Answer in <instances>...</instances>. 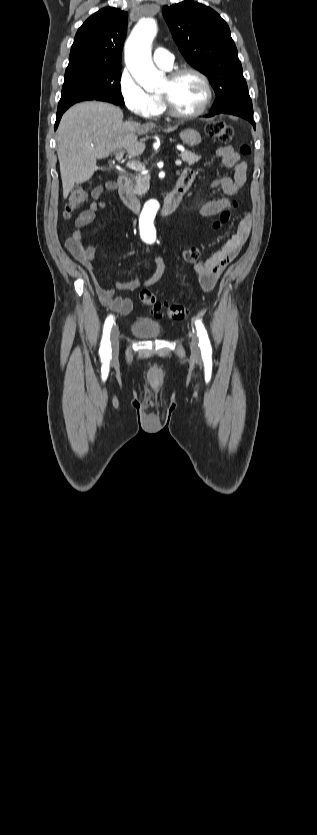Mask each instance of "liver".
I'll use <instances>...</instances> for the list:
<instances>
[{"instance_id": "obj_1", "label": "liver", "mask_w": 317, "mask_h": 835, "mask_svg": "<svg viewBox=\"0 0 317 835\" xmlns=\"http://www.w3.org/2000/svg\"><path fill=\"white\" fill-rule=\"evenodd\" d=\"M176 126L164 128L172 132ZM155 124L123 122L122 110L110 103L86 101L70 107L57 129V154L66 199L74 184L88 181L97 168V159L125 148L128 155L138 157L145 143L138 135L147 134Z\"/></svg>"}]
</instances>
